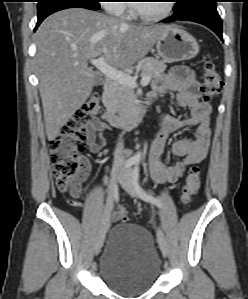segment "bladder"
Returning <instances> with one entry per match:
<instances>
[{"label": "bladder", "mask_w": 248, "mask_h": 299, "mask_svg": "<svg viewBox=\"0 0 248 299\" xmlns=\"http://www.w3.org/2000/svg\"><path fill=\"white\" fill-rule=\"evenodd\" d=\"M105 284L124 295L149 290L161 273V262L151 234L132 223L114 226L100 258Z\"/></svg>", "instance_id": "bladder-1"}]
</instances>
